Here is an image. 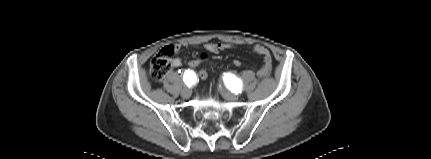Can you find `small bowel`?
Listing matches in <instances>:
<instances>
[{
	"label": "small bowel",
	"instance_id": "small-bowel-1",
	"mask_svg": "<svg viewBox=\"0 0 431 159\" xmlns=\"http://www.w3.org/2000/svg\"><path fill=\"white\" fill-rule=\"evenodd\" d=\"M234 47V44L231 43H208L205 46L206 51L210 53H218L220 51L230 49ZM177 46H174V49H176ZM253 51L260 55L262 57V65L259 67L257 73L259 76H266L270 73L271 67H272V59L269 51L261 45H255L253 47ZM172 66L174 68H178L182 65V60L180 58H174L172 60Z\"/></svg>",
	"mask_w": 431,
	"mask_h": 159
}]
</instances>
